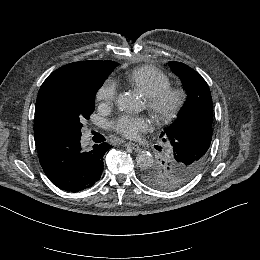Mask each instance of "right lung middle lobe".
<instances>
[{"mask_svg":"<svg viewBox=\"0 0 260 260\" xmlns=\"http://www.w3.org/2000/svg\"><path fill=\"white\" fill-rule=\"evenodd\" d=\"M108 74H95L61 87L48 106L47 124L57 138H80L82 122L94 111L95 95Z\"/></svg>","mask_w":260,"mask_h":260,"instance_id":"dd1d6c3e","label":"right lung middle lobe"}]
</instances>
